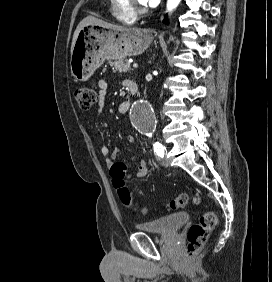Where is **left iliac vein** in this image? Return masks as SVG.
Segmentation results:
<instances>
[{
    "label": "left iliac vein",
    "mask_w": 272,
    "mask_h": 282,
    "mask_svg": "<svg viewBox=\"0 0 272 282\" xmlns=\"http://www.w3.org/2000/svg\"><path fill=\"white\" fill-rule=\"evenodd\" d=\"M164 165L166 166V167H168L170 164H169V161L168 160H164Z\"/></svg>",
    "instance_id": "1"
}]
</instances>
